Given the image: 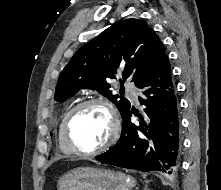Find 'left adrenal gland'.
<instances>
[{
	"label": "left adrenal gland",
	"mask_w": 221,
	"mask_h": 190,
	"mask_svg": "<svg viewBox=\"0 0 221 190\" xmlns=\"http://www.w3.org/2000/svg\"><path fill=\"white\" fill-rule=\"evenodd\" d=\"M144 190H149V189L147 188V186H145Z\"/></svg>",
	"instance_id": "left-adrenal-gland-1"
}]
</instances>
